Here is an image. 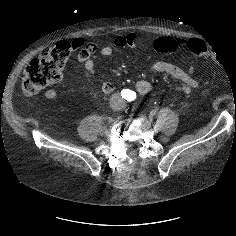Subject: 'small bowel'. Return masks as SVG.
I'll return each instance as SVG.
<instances>
[{
	"mask_svg": "<svg viewBox=\"0 0 236 236\" xmlns=\"http://www.w3.org/2000/svg\"><path fill=\"white\" fill-rule=\"evenodd\" d=\"M190 40L191 39H177L175 42L178 46L182 47L188 46ZM137 42L138 36L134 33L126 36H117L114 40V47H133ZM72 46L79 50L77 53V61L84 66L88 75L102 82L101 89L103 93L110 94L113 92L114 84L107 78V76L97 71L95 62L98 57H107L114 60L116 58L115 48L111 46L99 48L96 42H85L80 38L73 39ZM149 71L151 74H167L172 78L179 80L181 83L175 87V90L183 95L190 94L192 90L197 88L199 85V78L196 74L195 66H191L188 70H184L172 63L157 61L151 64ZM135 88L140 94H148L153 90V85L149 81L139 80L136 82ZM45 96L48 99H54L57 96V91L54 88H50L45 92Z\"/></svg>",
	"mask_w": 236,
	"mask_h": 236,
	"instance_id": "c3829d8e",
	"label": "small bowel"
}]
</instances>
